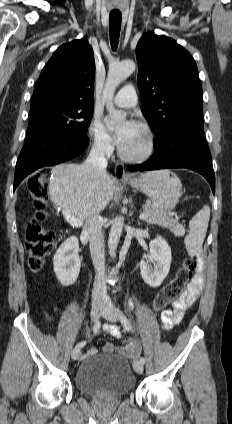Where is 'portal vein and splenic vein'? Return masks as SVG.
I'll list each match as a JSON object with an SVG mask.
<instances>
[{
  "instance_id": "obj_1",
  "label": "portal vein and splenic vein",
  "mask_w": 232,
  "mask_h": 424,
  "mask_svg": "<svg viewBox=\"0 0 232 424\" xmlns=\"http://www.w3.org/2000/svg\"><path fill=\"white\" fill-rule=\"evenodd\" d=\"M63 215H64V217H65L66 221H67L68 223H70L71 225H74V226H76V227H80V226H82L83 222H82L81 220H79V219L75 218L74 216H72V215H71L68 211H64V212H63ZM169 215H174V214L169 213ZM146 216H147V214H146L145 212H143V213H141V214L139 215V218H140V219H145V218H146Z\"/></svg>"
}]
</instances>
